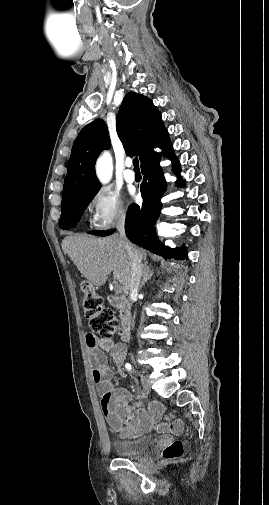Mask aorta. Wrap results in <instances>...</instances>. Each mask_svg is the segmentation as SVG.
Masks as SVG:
<instances>
[{"mask_svg": "<svg viewBox=\"0 0 269 505\" xmlns=\"http://www.w3.org/2000/svg\"><path fill=\"white\" fill-rule=\"evenodd\" d=\"M113 163L109 153L102 154L96 163V174L102 184H107L112 177Z\"/></svg>", "mask_w": 269, "mask_h": 505, "instance_id": "1", "label": "aorta"}]
</instances>
